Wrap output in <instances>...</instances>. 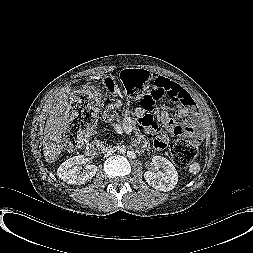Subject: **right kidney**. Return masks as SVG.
<instances>
[{"instance_id":"right-kidney-1","label":"right kidney","mask_w":253,"mask_h":253,"mask_svg":"<svg viewBox=\"0 0 253 253\" xmlns=\"http://www.w3.org/2000/svg\"><path fill=\"white\" fill-rule=\"evenodd\" d=\"M87 160L83 155L74 156L63 162L58 170V177L68 184L81 185L90 181L97 172V166L86 164Z\"/></svg>"}]
</instances>
